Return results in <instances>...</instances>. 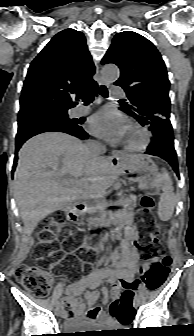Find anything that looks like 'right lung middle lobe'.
<instances>
[{
  "label": "right lung middle lobe",
  "instance_id": "right-lung-middle-lobe-1",
  "mask_svg": "<svg viewBox=\"0 0 194 336\" xmlns=\"http://www.w3.org/2000/svg\"><path fill=\"white\" fill-rule=\"evenodd\" d=\"M68 109H38L20 113L18 116V133L38 127H73L78 123V120L68 117Z\"/></svg>",
  "mask_w": 194,
  "mask_h": 336
}]
</instances>
